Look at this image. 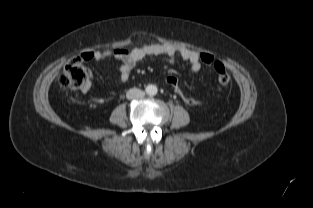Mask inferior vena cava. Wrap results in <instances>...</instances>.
Wrapping results in <instances>:
<instances>
[{"instance_id": "1", "label": "inferior vena cava", "mask_w": 313, "mask_h": 208, "mask_svg": "<svg viewBox=\"0 0 313 208\" xmlns=\"http://www.w3.org/2000/svg\"><path fill=\"white\" fill-rule=\"evenodd\" d=\"M145 96V92L138 89V88H132L129 89L126 93V97L127 99H140L143 98Z\"/></svg>"}]
</instances>
